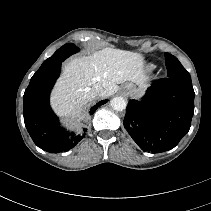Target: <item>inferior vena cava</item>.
I'll use <instances>...</instances> for the list:
<instances>
[{
	"label": "inferior vena cava",
	"instance_id": "1",
	"mask_svg": "<svg viewBox=\"0 0 211 211\" xmlns=\"http://www.w3.org/2000/svg\"><path fill=\"white\" fill-rule=\"evenodd\" d=\"M93 90H94L98 95H101L102 92H103V88H102V86H101L100 84L94 85Z\"/></svg>",
	"mask_w": 211,
	"mask_h": 211
}]
</instances>
